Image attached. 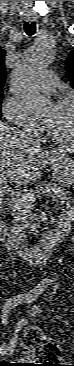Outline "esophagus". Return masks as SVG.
I'll return each instance as SVG.
<instances>
[{
    "label": "esophagus",
    "instance_id": "esophagus-1",
    "mask_svg": "<svg viewBox=\"0 0 74 366\" xmlns=\"http://www.w3.org/2000/svg\"><path fill=\"white\" fill-rule=\"evenodd\" d=\"M27 20L30 21V22H33V21H36L37 20V17L35 14H30L27 16Z\"/></svg>",
    "mask_w": 74,
    "mask_h": 366
}]
</instances>
